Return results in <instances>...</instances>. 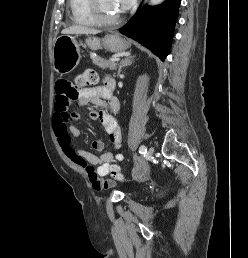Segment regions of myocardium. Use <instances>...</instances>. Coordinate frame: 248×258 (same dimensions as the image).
Listing matches in <instances>:
<instances>
[{"mask_svg": "<svg viewBox=\"0 0 248 258\" xmlns=\"http://www.w3.org/2000/svg\"><path fill=\"white\" fill-rule=\"evenodd\" d=\"M99 3L100 0H88V10L95 23L102 25H113L121 20L120 16L117 18L104 17L100 12Z\"/></svg>", "mask_w": 248, "mask_h": 258, "instance_id": "myocardium-1", "label": "myocardium"}]
</instances>
